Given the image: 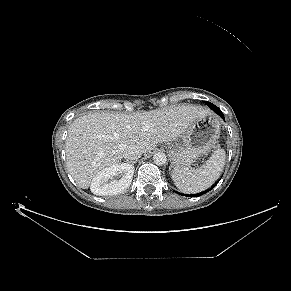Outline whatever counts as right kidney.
<instances>
[{
  "instance_id": "ca27d5eb",
  "label": "right kidney",
  "mask_w": 291,
  "mask_h": 291,
  "mask_svg": "<svg viewBox=\"0 0 291 291\" xmlns=\"http://www.w3.org/2000/svg\"><path fill=\"white\" fill-rule=\"evenodd\" d=\"M133 173L134 167L128 163H118L107 167L93 178L90 186L91 192L99 196L122 193L130 186Z\"/></svg>"
}]
</instances>
